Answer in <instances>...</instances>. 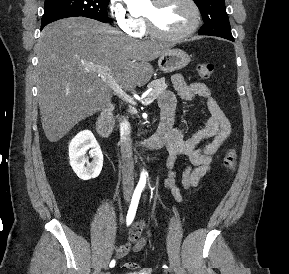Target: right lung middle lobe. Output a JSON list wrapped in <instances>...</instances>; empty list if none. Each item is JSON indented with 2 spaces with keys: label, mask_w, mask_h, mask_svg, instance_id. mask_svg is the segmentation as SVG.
<instances>
[{
  "label": "right lung middle lobe",
  "mask_w": 289,
  "mask_h": 274,
  "mask_svg": "<svg viewBox=\"0 0 289 274\" xmlns=\"http://www.w3.org/2000/svg\"><path fill=\"white\" fill-rule=\"evenodd\" d=\"M109 0H45L41 25L67 18L83 16L106 23Z\"/></svg>",
  "instance_id": "right-lung-middle-lobe-1"
}]
</instances>
